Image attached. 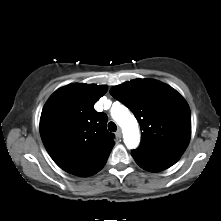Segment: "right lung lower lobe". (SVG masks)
<instances>
[{"label": "right lung lower lobe", "instance_id": "obj_1", "mask_svg": "<svg viewBox=\"0 0 221 221\" xmlns=\"http://www.w3.org/2000/svg\"><path fill=\"white\" fill-rule=\"evenodd\" d=\"M103 168V167H102ZM102 168H100L99 170H97L96 172H94V173H92V174H89V175H87V176H91V175H93V174H95V173H97L98 171H100Z\"/></svg>", "mask_w": 221, "mask_h": 221}]
</instances>
